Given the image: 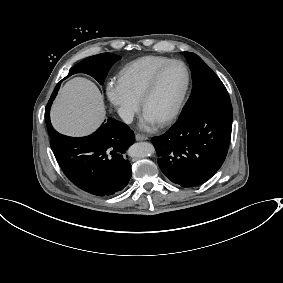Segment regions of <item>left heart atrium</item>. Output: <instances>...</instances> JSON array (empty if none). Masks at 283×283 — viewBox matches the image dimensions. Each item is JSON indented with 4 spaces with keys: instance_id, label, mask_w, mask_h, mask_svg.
I'll list each match as a JSON object with an SVG mask.
<instances>
[{
    "instance_id": "obj_1",
    "label": "left heart atrium",
    "mask_w": 283,
    "mask_h": 283,
    "mask_svg": "<svg viewBox=\"0 0 283 283\" xmlns=\"http://www.w3.org/2000/svg\"><path fill=\"white\" fill-rule=\"evenodd\" d=\"M157 120L152 117L149 113L143 112L141 117V128L143 129H151L155 126Z\"/></svg>"
}]
</instances>
